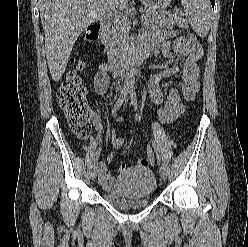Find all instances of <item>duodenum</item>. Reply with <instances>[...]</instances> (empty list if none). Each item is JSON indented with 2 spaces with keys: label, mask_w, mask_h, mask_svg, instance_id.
Wrapping results in <instances>:
<instances>
[{
  "label": "duodenum",
  "mask_w": 248,
  "mask_h": 247,
  "mask_svg": "<svg viewBox=\"0 0 248 247\" xmlns=\"http://www.w3.org/2000/svg\"><path fill=\"white\" fill-rule=\"evenodd\" d=\"M93 28L97 32V39L102 41L106 35V22L104 20L97 21ZM148 57L145 50L135 49L126 54L113 55L109 62L108 68L114 73L125 72L132 64L141 65Z\"/></svg>",
  "instance_id": "410a0bca"
}]
</instances>
